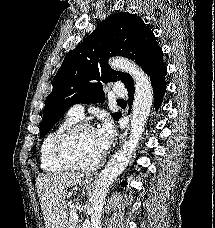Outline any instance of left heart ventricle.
<instances>
[{"instance_id":"left-heart-ventricle-1","label":"left heart ventricle","mask_w":215,"mask_h":228,"mask_svg":"<svg viewBox=\"0 0 215 228\" xmlns=\"http://www.w3.org/2000/svg\"><path fill=\"white\" fill-rule=\"evenodd\" d=\"M69 157L77 164L88 165L97 161L103 153L99 149L95 130L80 131L67 145Z\"/></svg>"}]
</instances>
